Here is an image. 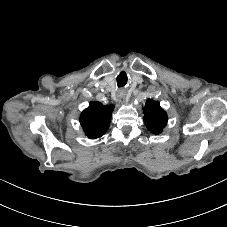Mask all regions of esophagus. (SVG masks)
<instances>
[{
	"label": "esophagus",
	"instance_id": "esophagus-1",
	"mask_svg": "<svg viewBox=\"0 0 227 227\" xmlns=\"http://www.w3.org/2000/svg\"><path fill=\"white\" fill-rule=\"evenodd\" d=\"M118 101H119V103H121V104L127 102V100H125L124 96H122V95H118Z\"/></svg>",
	"mask_w": 227,
	"mask_h": 227
}]
</instances>
